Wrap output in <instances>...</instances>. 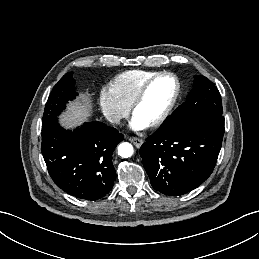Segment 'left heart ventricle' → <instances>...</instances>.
I'll use <instances>...</instances> for the list:
<instances>
[{
    "label": "left heart ventricle",
    "mask_w": 259,
    "mask_h": 259,
    "mask_svg": "<svg viewBox=\"0 0 259 259\" xmlns=\"http://www.w3.org/2000/svg\"><path fill=\"white\" fill-rule=\"evenodd\" d=\"M174 91L175 84L171 78L162 77L157 79L148 89L134 115L149 125L165 111L174 95Z\"/></svg>",
    "instance_id": "1"
}]
</instances>
